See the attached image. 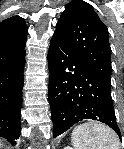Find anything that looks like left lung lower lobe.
<instances>
[{
    "label": "left lung lower lobe",
    "mask_w": 124,
    "mask_h": 149,
    "mask_svg": "<svg viewBox=\"0 0 124 149\" xmlns=\"http://www.w3.org/2000/svg\"><path fill=\"white\" fill-rule=\"evenodd\" d=\"M48 68L54 138L74 124L92 119L108 125L121 139L111 83L98 76L56 33L50 41Z\"/></svg>",
    "instance_id": "0a47b994"
}]
</instances>
